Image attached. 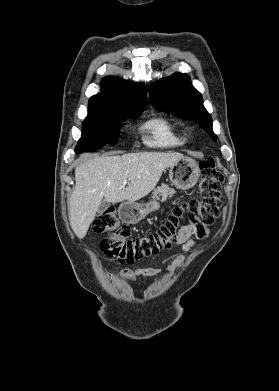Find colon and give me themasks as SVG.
<instances>
[{"mask_svg":"<svg viewBox=\"0 0 279 391\" xmlns=\"http://www.w3.org/2000/svg\"><path fill=\"white\" fill-rule=\"evenodd\" d=\"M201 170L199 197L175 206L167 220L153 233L132 236L130 228L121 223L114 208L99 214L93 222V229L97 233H108L101 241L105 255L122 263L156 255L177 242L185 219L196 228L197 238H207V227L220 215L222 177L213 160H204Z\"/></svg>","mask_w":279,"mask_h":391,"instance_id":"obj_1","label":"colon"}]
</instances>
